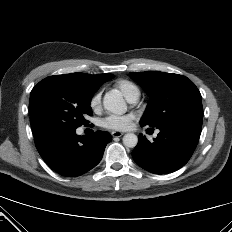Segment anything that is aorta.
I'll use <instances>...</instances> for the list:
<instances>
[{
	"mask_svg": "<svg viewBox=\"0 0 232 232\" xmlns=\"http://www.w3.org/2000/svg\"><path fill=\"white\" fill-rule=\"evenodd\" d=\"M104 109L114 114L122 115L127 111V105L118 91H110L103 99ZM138 143V137L134 133H127L123 136V144L126 147L134 148Z\"/></svg>",
	"mask_w": 232,
	"mask_h": 232,
	"instance_id": "1",
	"label": "aorta"
}]
</instances>
